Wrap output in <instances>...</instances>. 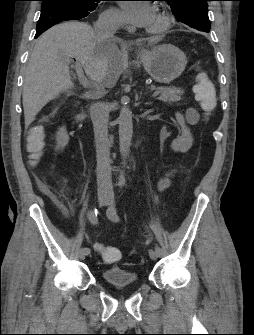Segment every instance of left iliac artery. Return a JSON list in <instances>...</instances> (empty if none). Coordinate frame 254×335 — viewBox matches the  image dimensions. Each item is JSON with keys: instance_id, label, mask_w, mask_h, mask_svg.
Segmentation results:
<instances>
[{"instance_id": "left-iliac-artery-1", "label": "left iliac artery", "mask_w": 254, "mask_h": 335, "mask_svg": "<svg viewBox=\"0 0 254 335\" xmlns=\"http://www.w3.org/2000/svg\"><path fill=\"white\" fill-rule=\"evenodd\" d=\"M123 185L124 184H122L121 187ZM107 214H108L109 218L111 220L115 221V222H118L120 220V217L117 214L116 208L114 206H111V207L108 208ZM154 250L158 254V256L163 254V249L155 242H154Z\"/></svg>"}]
</instances>
